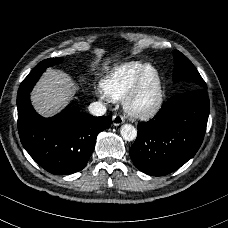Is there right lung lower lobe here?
<instances>
[{
    "mask_svg": "<svg viewBox=\"0 0 228 228\" xmlns=\"http://www.w3.org/2000/svg\"><path fill=\"white\" fill-rule=\"evenodd\" d=\"M45 69L32 70L17 95L18 132L22 145L42 168L52 174H71L87 164L99 132L111 116L93 117L69 105L60 114L43 118L30 103V92Z\"/></svg>",
    "mask_w": 228,
    "mask_h": 228,
    "instance_id": "obj_1",
    "label": "right lung lower lobe"
}]
</instances>
